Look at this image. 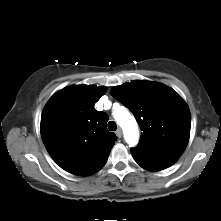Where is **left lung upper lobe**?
Instances as JSON below:
<instances>
[{
    "instance_id": "1",
    "label": "left lung upper lobe",
    "mask_w": 221,
    "mask_h": 221,
    "mask_svg": "<svg viewBox=\"0 0 221 221\" xmlns=\"http://www.w3.org/2000/svg\"><path fill=\"white\" fill-rule=\"evenodd\" d=\"M111 94L134 114L143 131L132 155L155 160L181 156L189 140L191 115L173 89L137 80L114 87Z\"/></svg>"
}]
</instances>
